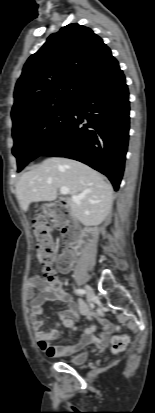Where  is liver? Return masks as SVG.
<instances>
[{"label": "liver", "mask_w": 155, "mask_h": 413, "mask_svg": "<svg viewBox=\"0 0 155 413\" xmlns=\"http://www.w3.org/2000/svg\"><path fill=\"white\" fill-rule=\"evenodd\" d=\"M69 194L81 196L67 199L72 215L85 226H97L109 215L113 188L99 172L73 159L52 157L25 172L16 185V195L24 212L33 202L54 201L61 187Z\"/></svg>", "instance_id": "liver-1"}]
</instances>
